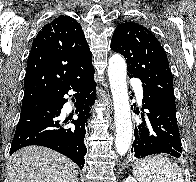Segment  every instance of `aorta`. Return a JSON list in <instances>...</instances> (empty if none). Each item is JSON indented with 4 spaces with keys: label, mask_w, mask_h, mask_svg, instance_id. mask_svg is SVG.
<instances>
[{
    "label": "aorta",
    "mask_w": 196,
    "mask_h": 182,
    "mask_svg": "<svg viewBox=\"0 0 196 182\" xmlns=\"http://www.w3.org/2000/svg\"><path fill=\"white\" fill-rule=\"evenodd\" d=\"M108 76L113 96L116 138L115 147L119 155H125L132 140V121L126 82V62L115 54L109 59Z\"/></svg>",
    "instance_id": "aorta-1"
}]
</instances>
